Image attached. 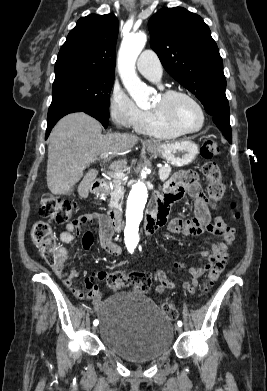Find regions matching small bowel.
Returning a JSON list of instances; mask_svg holds the SVG:
<instances>
[{"instance_id": "obj_1", "label": "small bowel", "mask_w": 267, "mask_h": 391, "mask_svg": "<svg viewBox=\"0 0 267 391\" xmlns=\"http://www.w3.org/2000/svg\"><path fill=\"white\" fill-rule=\"evenodd\" d=\"M185 194L191 196L195 201V214L192 219L173 218L168 222V231L181 235H199L203 232H209L221 238L218 243L212 245L211 250L205 249L201 255L207 259L202 267H189L190 280L181 284L182 288L189 293H195L199 284V278L211 268V266L225 253L228 246L234 239V229L229 227L221 217L215 218L212 223V214L210 204L205 197L200 184L197 181V175L193 171H180L176 173L165 185L162 194L156 198V208L167 221L170 207L181 200ZM99 224V242L102 249L112 256L121 254V247L113 240V230L110 228L105 216L96 213L85 214L78 219L65 224L64 230L59 235L62 244L71 243L77 235L80 234L82 227L90 222ZM94 237L91 231H86L82 237V248L89 250L92 247ZM69 257V249L65 246L58 248V261L53 266L57 276L63 279L65 285L71 287L72 281L79 276L75 266L68 271L64 270L65 263ZM177 268H185V264L175 261ZM110 275L104 271L94 272L87 275L84 279L85 287L88 293L84 294L77 288H71L73 293L79 297H88L93 299L94 305L99 307L102 304L100 290L96 284L97 280H103ZM154 290L156 293H162L175 287L170 282L163 271H156L153 274Z\"/></svg>"}]
</instances>
